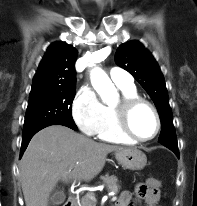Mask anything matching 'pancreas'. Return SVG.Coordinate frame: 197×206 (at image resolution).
I'll list each match as a JSON object with an SVG mask.
<instances>
[{"label": "pancreas", "mask_w": 197, "mask_h": 206, "mask_svg": "<svg viewBox=\"0 0 197 206\" xmlns=\"http://www.w3.org/2000/svg\"><path fill=\"white\" fill-rule=\"evenodd\" d=\"M109 191L117 192L120 186L118 185V179L116 176H106L103 179ZM95 195L92 192L87 193L81 198L80 206H96Z\"/></svg>", "instance_id": "cf45deb5"}]
</instances>
